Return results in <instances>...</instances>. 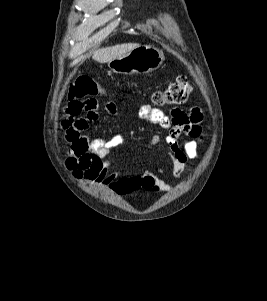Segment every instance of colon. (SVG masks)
I'll return each mask as SVG.
<instances>
[{
  "instance_id": "5ec220e1",
  "label": "colon",
  "mask_w": 267,
  "mask_h": 301,
  "mask_svg": "<svg viewBox=\"0 0 267 301\" xmlns=\"http://www.w3.org/2000/svg\"><path fill=\"white\" fill-rule=\"evenodd\" d=\"M192 92L188 80L181 76L162 90L155 91L151 101L157 106L181 105L185 103ZM104 94V87L88 76H80L74 80L69 87L68 98L83 99L97 97Z\"/></svg>"
}]
</instances>
